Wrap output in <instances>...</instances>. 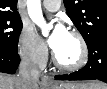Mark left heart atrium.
Segmentation results:
<instances>
[{
  "instance_id": "39dd6f15",
  "label": "left heart atrium",
  "mask_w": 107,
  "mask_h": 89,
  "mask_svg": "<svg viewBox=\"0 0 107 89\" xmlns=\"http://www.w3.org/2000/svg\"><path fill=\"white\" fill-rule=\"evenodd\" d=\"M67 35L68 31L66 28L61 23H57L48 39L50 48L54 52L57 51Z\"/></svg>"
}]
</instances>
